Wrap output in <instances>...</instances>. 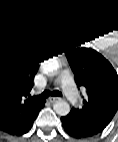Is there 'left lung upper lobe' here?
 I'll return each mask as SVG.
<instances>
[{
    "mask_svg": "<svg viewBox=\"0 0 118 142\" xmlns=\"http://www.w3.org/2000/svg\"><path fill=\"white\" fill-rule=\"evenodd\" d=\"M76 84L85 91L83 105L71 113L95 132H101L118 109V76L98 52L78 48L66 52Z\"/></svg>",
    "mask_w": 118,
    "mask_h": 142,
    "instance_id": "1",
    "label": "left lung upper lobe"
}]
</instances>
